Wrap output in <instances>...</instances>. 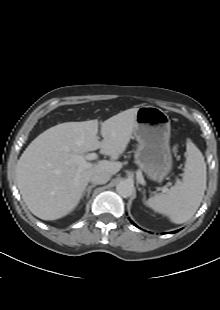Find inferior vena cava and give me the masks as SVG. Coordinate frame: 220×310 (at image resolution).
I'll return each mask as SVG.
<instances>
[{"label": "inferior vena cava", "mask_w": 220, "mask_h": 310, "mask_svg": "<svg viewBox=\"0 0 220 310\" xmlns=\"http://www.w3.org/2000/svg\"><path fill=\"white\" fill-rule=\"evenodd\" d=\"M109 180H110V175L106 172L95 173L90 178V181L94 184H105Z\"/></svg>", "instance_id": "inferior-vena-cava-1"}]
</instances>
